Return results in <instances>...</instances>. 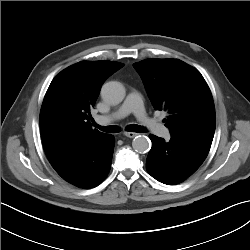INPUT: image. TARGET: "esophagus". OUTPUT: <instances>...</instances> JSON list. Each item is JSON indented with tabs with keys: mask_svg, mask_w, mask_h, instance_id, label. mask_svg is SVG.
I'll return each mask as SVG.
<instances>
[{
	"mask_svg": "<svg viewBox=\"0 0 250 250\" xmlns=\"http://www.w3.org/2000/svg\"><path fill=\"white\" fill-rule=\"evenodd\" d=\"M124 135L126 137L133 138V137L137 136L138 134L134 133V132H125Z\"/></svg>",
	"mask_w": 250,
	"mask_h": 250,
	"instance_id": "esophagus-1",
	"label": "esophagus"
}]
</instances>
